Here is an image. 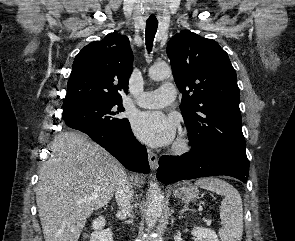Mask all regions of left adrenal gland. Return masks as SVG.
<instances>
[{
    "label": "left adrenal gland",
    "instance_id": "left-adrenal-gland-1",
    "mask_svg": "<svg viewBox=\"0 0 295 241\" xmlns=\"http://www.w3.org/2000/svg\"><path fill=\"white\" fill-rule=\"evenodd\" d=\"M191 211L188 205H184L183 209L179 211L180 214L184 213L185 211Z\"/></svg>",
    "mask_w": 295,
    "mask_h": 241
}]
</instances>
